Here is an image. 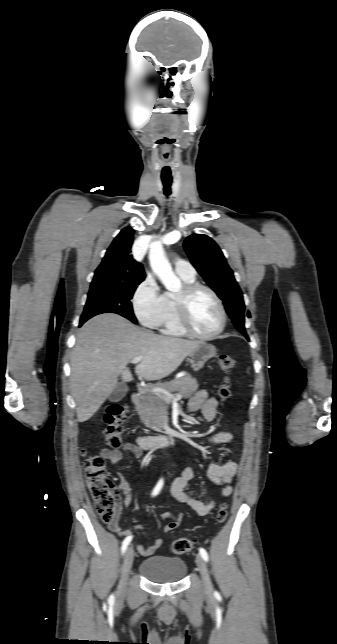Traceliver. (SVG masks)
Segmentation results:
<instances>
[{
	"mask_svg": "<svg viewBox=\"0 0 337 644\" xmlns=\"http://www.w3.org/2000/svg\"><path fill=\"white\" fill-rule=\"evenodd\" d=\"M201 341L153 334L125 318L101 314L78 331L71 354V393L79 422L90 419L118 385L132 380L127 364L142 357L135 373L154 381L174 372Z\"/></svg>",
	"mask_w": 337,
	"mask_h": 644,
	"instance_id": "liver-1",
	"label": "liver"
}]
</instances>
